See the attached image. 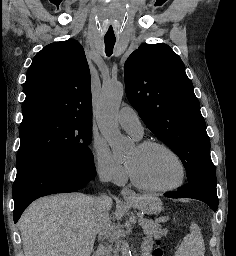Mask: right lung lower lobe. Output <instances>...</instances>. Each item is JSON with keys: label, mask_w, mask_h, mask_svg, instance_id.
I'll list each match as a JSON object with an SVG mask.
<instances>
[{"label": "right lung lower lobe", "mask_w": 236, "mask_h": 256, "mask_svg": "<svg viewBox=\"0 0 236 256\" xmlns=\"http://www.w3.org/2000/svg\"><path fill=\"white\" fill-rule=\"evenodd\" d=\"M96 175L94 162L51 160L28 166L13 184L14 222L35 199L54 193L75 192Z\"/></svg>", "instance_id": "obj_1"}]
</instances>
